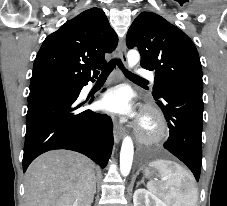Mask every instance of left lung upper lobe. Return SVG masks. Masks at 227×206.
<instances>
[{"instance_id": "5c2ea615", "label": "left lung upper lobe", "mask_w": 227, "mask_h": 206, "mask_svg": "<svg viewBox=\"0 0 227 206\" xmlns=\"http://www.w3.org/2000/svg\"><path fill=\"white\" fill-rule=\"evenodd\" d=\"M126 44L138 48L141 67L155 70L154 97L171 89L202 94V67L194 43L163 17L142 12L132 23Z\"/></svg>"}]
</instances>
